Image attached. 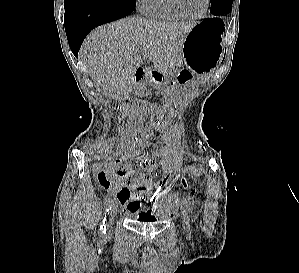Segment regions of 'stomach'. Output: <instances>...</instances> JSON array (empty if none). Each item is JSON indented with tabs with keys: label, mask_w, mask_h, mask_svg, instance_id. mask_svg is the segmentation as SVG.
<instances>
[{
	"label": "stomach",
	"mask_w": 299,
	"mask_h": 273,
	"mask_svg": "<svg viewBox=\"0 0 299 273\" xmlns=\"http://www.w3.org/2000/svg\"><path fill=\"white\" fill-rule=\"evenodd\" d=\"M224 29V22L220 18L199 22L187 34L183 45L184 64L188 67H176V76L163 77L164 89L172 91L195 81V73L206 74L214 71L222 54Z\"/></svg>",
	"instance_id": "1"
}]
</instances>
